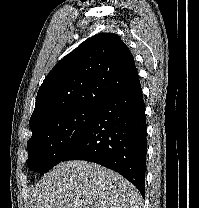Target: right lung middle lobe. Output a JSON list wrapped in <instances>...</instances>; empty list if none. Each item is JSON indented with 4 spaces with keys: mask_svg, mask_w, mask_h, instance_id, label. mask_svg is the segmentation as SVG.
Segmentation results:
<instances>
[{
    "mask_svg": "<svg viewBox=\"0 0 199 208\" xmlns=\"http://www.w3.org/2000/svg\"><path fill=\"white\" fill-rule=\"evenodd\" d=\"M97 106L80 107L55 115L31 129L28 166L44 174L75 146L93 120Z\"/></svg>",
    "mask_w": 199,
    "mask_h": 208,
    "instance_id": "1",
    "label": "right lung middle lobe"
}]
</instances>
